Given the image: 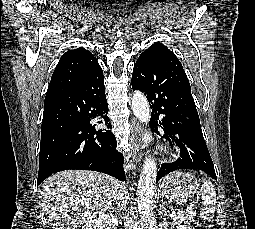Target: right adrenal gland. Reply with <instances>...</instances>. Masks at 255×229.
Returning <instances> with one entry per match:
<instances>
[{"label":"right adrenal gland","instance_id":"obj_1","mask_svg":"<svg viewBox=\"0 0 255 229\" xmlns=\"http://www.w3.org/2000/svg\"><path fill=\"white\" fill-rule=\"evenodd\" d=\"M111 209H112V212H115L116 214H117V213H120V212H121V210H122V209H121V208H119V207H118V208H117V207H115V208H111Z\"/></svg>","mask_w":255,"mask_h":229}]
</instances>
